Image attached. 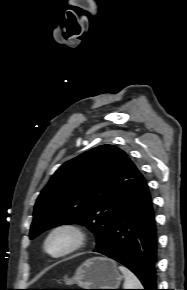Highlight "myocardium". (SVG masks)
<instances>
[{
	"instance_id": "f54148a6",
	"label": "myocardium",
	"mask_w": 187,
	"mask_h": 290,
	"mask_svg": "<svg viewBox=\"0 0 187 290\" xmlns=\"http://www.w3.org/2000/svg\"><path fill=\"white\" fill-rule=\"evenodd\" d=\"M59 234L67 235L69 237V244L59 252H52L49 249V243ZM86 241L87 233L81 225L72 222H65L57 224L49 230L44 239L43 248L48 256L52 258H61L82 248Z\"/></svg>"
}]
</instances>
